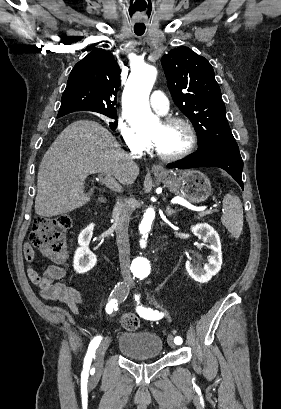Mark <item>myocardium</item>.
Returning a JSON list of instances; mask_svg holds the SVG:
<instances>
[{"label": "myocardium", "instance_id": "f54148a6", "mask_svg": "<svg viewBox=\"0 0 281 409\" xmlns=\"http://www.w3.org/2000/svg\"><path fill=\"white\" fill-rule=\"evenodd\" d=\"M161 124L164 126L171 124L182 125L188 133V144L182 151L176 154L168 155L160 152L150 140L146 139L147 148L151 150L159 159L165 162H175L186 158L194 151L197 144V134L193 125L187 119L180 116H168L161 120Z\"/></svg>", "mask_w": 281, "mask_h": 409}]
</instances>
